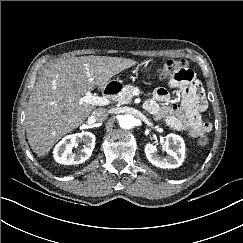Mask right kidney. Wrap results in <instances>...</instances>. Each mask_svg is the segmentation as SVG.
I'll return each mask as SVG.
<instances>
[{
	"label": "right kidney",
	"mask_w": 243,
	"mask_h": 243,
	"mask_svg": "<svg viewBox=\"0 0 243 243\" xmlns=\"http://www.w3.org/2000/svg\"><path fill=\"white\" fill-rule=\"evenodd\" d=\"M83 143V149L73 153L72 149ZM95 147V135L91 132H81L65 136L54 148L53 156L56 162L64 165L80 164L85 162Z\"/></svg>",
	"instance_id": "1"
}]
</instances>
